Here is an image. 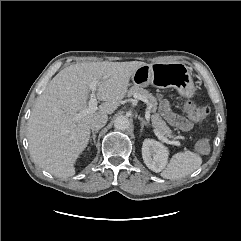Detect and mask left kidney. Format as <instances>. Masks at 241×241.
I'll use <instances>...</instances> for the list:
<instances>
[{
    "label": "left kidney",
    "instance_id": "left-kidney-1",
    "mask_svg": "<svg viewBox=\"0 0 241 241\" xmlns=\"http://www.w3.org/2000/svg\"><path fill=\"white\" fill-rule=\"evenodd\" d=\"M168 149L158 141L145 139L142 145V157L146 166L158 173L161 172L168 159Z\"/></svg>",
    "mask_w": 241,
    "mask_h": 241
}]
</instances>
